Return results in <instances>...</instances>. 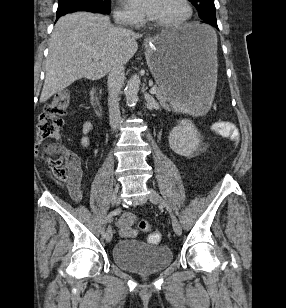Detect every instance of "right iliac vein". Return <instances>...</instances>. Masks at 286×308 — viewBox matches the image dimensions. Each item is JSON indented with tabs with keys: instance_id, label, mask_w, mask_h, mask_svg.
<instances>
[{
	"instance_id": "63e3f726",
	"label": "right iliac vein",
	"mask_w": 286,
	"mask_h": 308,
	"mask_svg": "<svg viewBox=\"0 0 286 308\" xmlns=\"http://www.w3.org/2000/svg\"><path fill=\"white\" fill-rule=\"evenodd\" d=\"M118 190H119V185L118 184H115L114 186V190H113V194H112V197H111V204L112 205H116L118 200H117V193H118ZM112 236H113V233H112V230L111 228L109 227L106 231V241L107 242H110L112 240Z\"/></svg>"
}]
</instances>
